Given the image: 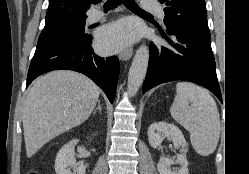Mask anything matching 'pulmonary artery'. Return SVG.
Segmentation results:
<instances>
[{
	"mask_svg": "<svg viewBox=\"0 0 249 174\" xmlns=\"http://www.w3.org/2000/svg\"><path fill=\"white\" fill-rule=\"evenodd\" d=\"M143 10L147 13H152L157 15L161 20L165 19V12L161 5L154 0H142ZM104 16L102 10H95L89 14L87 21L89 23H95L101 20Z\"/></svg>",
	"mask_w": 249,
	"mask_h": 174,
	"instance_id": "pulmonary-artery-1",
	"label": "pulmonary artery"
}]
</instances>
